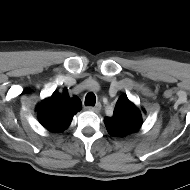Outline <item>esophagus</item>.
I'll use <instances>...</instances> for the list:
<instances>
[{
  "mask_svg": "<svg viewBox=\"0 0 190 190\" xmlns=\"http://www.w3.org/2000/svg\"><path fill=\"white\" fill-rule=\"evenodd\" d=\"M87 109H88L89 111H93V112L98 113V112H100V110H101V104H100V103H97L95 106H89V107H87Z\"/></svg>",
  "mask_w": 190,
  "mask_h": 190,
  "instance_id": "obj_1",
  "label": "esophagus"
}]
</instances>
